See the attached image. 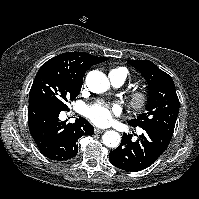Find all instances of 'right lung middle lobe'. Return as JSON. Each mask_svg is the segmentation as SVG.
Masks as SVG:
<instances>
[{
  "instance_id": "1",
  "label": "right lung middle lobe",
  "mask_w": 199,
  "mask_h": 199,
  "mask_svg": "<svg viewBox=\"0 0 199 199\" xmlns=\"http://www.w3.org/2000/svg\"><path fill=\"white\" fill-rule=\"evenodd\" d=\"M82 81L52 70H39L29 93V103L39 99L50 100L68 111L67 102L75 99Z\"/></svg>"
}]
</instances>
